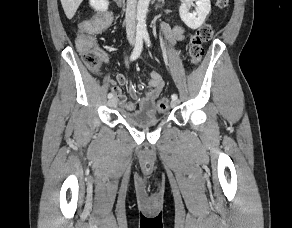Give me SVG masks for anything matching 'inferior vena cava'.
Here are the masks:
<instances>
[{"instance_id": "obj_1", "label": "inferior vena cava", "mask_w": 292, "mask_h": 228, "mask_svg": "<svg viewBox=\"0 0 292 228\" xmlns=\"http://www.w3.org/2000/svg\"><path fill=\"white\" fill-rule=\"evenodd\" d=\"M136 4L137 0H127L125 21L127 38L130 42L135 38Z\"/></svg>"}]
</instances>
